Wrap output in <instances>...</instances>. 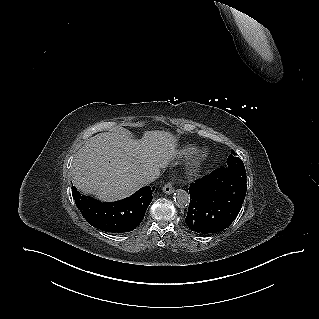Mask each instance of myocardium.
Returning <instances> with one entry per match:
<instances>
[{
    "label": "myocardium",
    "mask_w": 319,
    "mask_h": 319,
    "mask_svg": "<svg viewBox=\"0 0 319 319\" xmlns=\"http://www.w3.org/2000/svg\"><path fill=\"white\" fill-rule=\"evenodd\" d=\"M205 154H203V153H201L198 157H197V159L195 160V162L193 163V165H192V168H191V170H190V175L191 176H195L198 172H199V170H200V168H201V166H202V164H203V162H204V160H205Z\"/></svg>",
    "instance_id": "myocardium-1"
}]
</instances>
